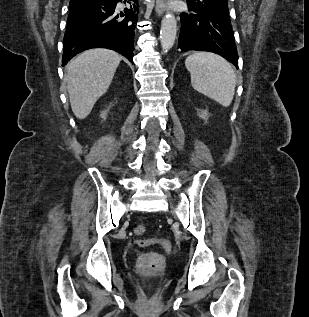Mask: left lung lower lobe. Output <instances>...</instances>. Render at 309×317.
Returning a JSON list of instances; mask_svg holds the SVG:
<instances>
[{"mask_svg": "<svg viewBox=\"0 0 309 317\" xmlns=\"http://www.w3.org/2000/svg\"><path fill=\"white\" fill-rule=\"evenodd\" d=\"M189 13H181L178 48L209 51L221 55L238 68V53L229 13L188 5Z\"/></svg>", "mask_w": 309, "mask_h": 317, "instance_id": "obj_1", "label": "left lung lower lobe"}]
</instances>
